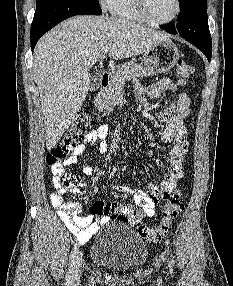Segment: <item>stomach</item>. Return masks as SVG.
<instances>
[{"label":"stomach","mask_w":233,"mask_h":286,"mask_svg":"<svg viewBox=\"0 0 233 286\" xmlns=\"http://www.w3.org/2000/svg\"><path fill=\"white\" fill-rule=\"evenodd\" d=\"M179 60V50L170 40H164L144 53V64L154 73L170 71Z\"/></svg>","instance_id":"0dacf381"}]
</instances>
